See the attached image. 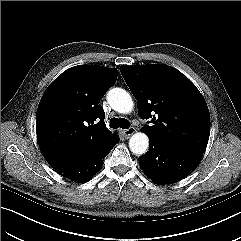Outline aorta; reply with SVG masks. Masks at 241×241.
Returning a JSON list of instances; mask_svg holds the SVG:
<instances>
[{
	"instance_id": "762f6f07",
	"label": "aorta",
	"mask_w": 241,
	"mask_h": 241,
	"mask_svg": "<svg viewBox=\"0 0 241 241\" xmlns=\"http://www.w3.org/2000/svg\"><path fill=\"white\" fill-rule=\"evenodd\" d=\"M107 100L113 110L127 114L133 109L134 103L130 94L122 88H112L107 94ZM149 146V138L145 133L138 132L131 136L129 148L137 155L144 154Z\"/></svg>"
}]
</instances>
